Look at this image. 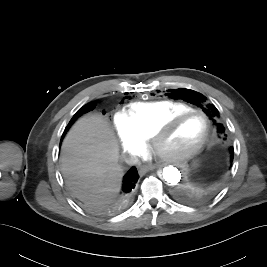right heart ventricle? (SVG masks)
I'll list each match as a JSON object with an SVG mask.
<instances>
[{"instance_id": "1", "label": "right heart ventricle", "mask_w": 267, "mask_h": 267, "mask_svg": "<svg viewBox=\"0 0 267 267\" xmlns=\"http://www.w3.org/2000/svg\"><path fill=\"white\" fill-rule=\"evenodd\" d=\"M193 109L190 105L171 100L135 102L128 105L124 115L129 124L144 138L150 139L155 130L170 116Z\"/></svg>"}]
</instances>
